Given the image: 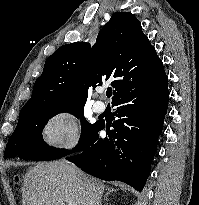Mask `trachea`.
I'll use <instances>...</instances> for the list:
<instances>
[{"label":"trachea","instance_id":"3493384b","mask_svg":"<svg viewBox=\"0 0 199 205\" xmlns=\"http://www.w3.org/2000/svg\"><path fill=\"white\" fill-rule=\"evenodd\" d=\"M106 95H107V97H110V96L112 95V90H111V89H108V90L106 91Z\"/></svg>","mask_w":199,"mask_h":205}]
</instances>
